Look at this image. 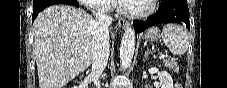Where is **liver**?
<instances>
[{"label":"liver","instance_id":"6515ba94","mask_svg":"<svg viewBox=\"0 0 227 88\" xmlns=\"http://www.w3.org/2000/svg\"><path fill=\"white\" fill-rule=\"evenodd\" d=\"M33 26L39 88H63L90 66L96 21L87 12L53 5L39 13Z\"/></svg>","mask_w":227,"mask_h":88}]
</instances>
